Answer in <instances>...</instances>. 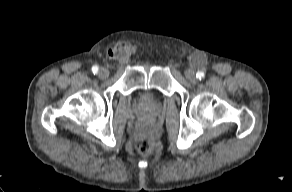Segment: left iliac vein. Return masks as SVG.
<instances>
[{
    "label": "left iliac vein",
    "mask_w": 292,
    "mask_h": 192,
    "mask_svg": "<svg viewBox=\"0 0 292 192\" xmlns=\"http://www.w3.org/2000/svg\"><path fill=\"white\" fill-rule=\"evenodd\" d=\"M185 76L188 79V81H190L191 83H196L197 82V77H196V74H195V72L193 70L188 69L185 72Z\"/></svg>",
    "instance_id": "left-iliac-vein-1"
}]
</instances>
